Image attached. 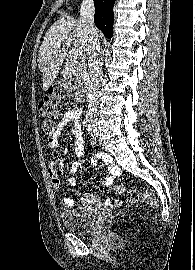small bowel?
Wrapping results in <instances>:
<instances>
[{"label": "small bowel", "instance_id": "small-bowel-1", "mask_svg": "<svg viewBox=\"0 0 195 270\" xmlns=\"http://www.w3.org/2000/svg\"><path fill=\"white\" fill-rule=\"evenodd\" d=\"M81 115L82 110L81 108H72L64 112L60 121L58 122L57 126L55 127L54 133L49 136V146L52 150V158L47 165V171L50 176V180L52 185L57 189L60 190L61 185V176L64 175L63 169V159L61 158V153L66 150L64 144H62L59 140L60 134L63 129L70 123H73V136L75 138V154L79 158L76 160L68 173L65 177V184L67 186H74L76 184L75 179L71 176L72 174L77 173L83 166L82 161L80 158L84 155V139H83V126L81 123ZM94 166H99L102 162H105L108 166L110 176H107L103 180L104 186H111L114 180V177L120 175L121 170L120 168L114 164L109 156L103 154H95L91 160ZM82 203L84 204H95L97 202V198L90 193H85L81 197ZM75 203L74 198L65 197L62 200V204L64 207L69 208L72 207ZM107 206H117L119 205V200H111L107 199L105 201Z\"/></svg>", "mask_w": 195, "mask_h": 270}]
</instances>
